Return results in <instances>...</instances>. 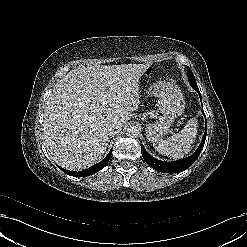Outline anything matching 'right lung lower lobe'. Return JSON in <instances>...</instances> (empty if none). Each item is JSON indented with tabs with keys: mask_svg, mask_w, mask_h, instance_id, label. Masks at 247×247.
<instances>
[{
	"mask_svg": "<svg viewBox=\"0 0 247 247\" xmlns=\"http://www.w3.org/2000/svg\"><path fill=\"white\" fill-rule=\"evenodd\" d=\"M111 154H112V150H110L108 155L101 162L91 166L88 169L82 170V171L74 172V171L65 170L63 168H60V169L64 173H66V174H68L70 176H77V177H79V176H81V177L89 176V175H92V174L100 171L101 169H103L107 165V163L109 162Z\"/></svg>",
	"mask_w": 247,
	"mask_h": 247,
	"instance_id": "right-lung-lower-lobe-1",
	"label": "right lung lower lobe"
}]
</instances>
